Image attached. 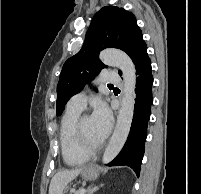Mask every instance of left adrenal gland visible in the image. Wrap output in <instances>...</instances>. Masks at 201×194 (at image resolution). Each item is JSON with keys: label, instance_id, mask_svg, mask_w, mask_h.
I'll use <instances>...</instances> for the list:
<instances>
[{"label": "left adrenal gland", "instance_id": "a2214340", "mask_svg": "<svg viewBox=\"0 0 201 194\" xmlns=\"http://www.w3.org/2000/svg\"><path fill=\"white\" fill-rule=\"evenodd\" d=\"M102 186H103V184H101L100 186H94L92 188H89L88 189V194H93L94 192H96L97 190H99Z\"/></svg>", "mask_w": 201, "mask_h": 194}]
</instances>
